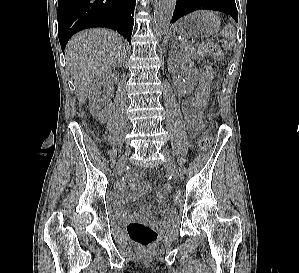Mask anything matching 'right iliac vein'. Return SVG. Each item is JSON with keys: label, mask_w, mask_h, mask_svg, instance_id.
Masks as SVG:
<instances>
[{"label": "right iliac vein", "mask_w": 299, "mask_h": 273, "mask_svg": "<svg viewBox=\"0 0 299 273\" xmlns=\"http://www.w3.org/2000/svg\"><path fill=\"white\" fill-rule=\"evenodd\" d=\"M126 160H127V154H125L124 156H122L119 159L117 167H116V173L117 174L121 173V171L123 170V167H124V165L126 163Z\"/></svg>", "instance_id": "1"}]
</instances>
